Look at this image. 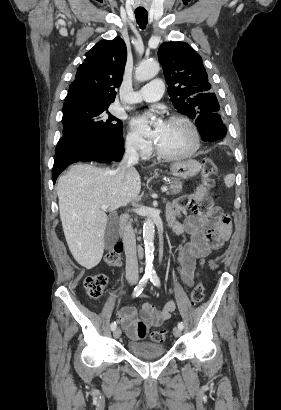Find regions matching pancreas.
Instances as JSON below:
<instances>
[{"label":"pancreas","mask_w":281,"mask_h":410,"mask_svg":"<svg viewBox=\"0 0 281 410\" xmlns=\"http://www.w3.org/2000/svg\"><path fill=\"white\" fill-rule=\"evenodd\" d=\"M169 186L168 194H179L182 191L183 184L179 180L175 178H171L170 181L167 183Z\"/></svg>","instance_id":"obj_1"}]
</instances>
